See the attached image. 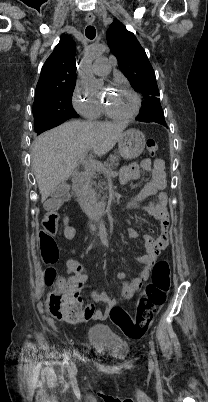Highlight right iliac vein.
Masks as SVG:
<instances>
[{"instance_id": "obj_1", "label": "right iliac vein", "mask_w": 208, "mask_h": 402, "mask_svg": "<svg viewBox=\"0 0 208 402\" xmlns=\"http://www.w3.org/2000/svg\"><path fill=\"white\" fill-rule=\"evenodd\" d=\"M70 368H71L72 371H74L75 370V365L73 363H71Z\"/></svg>"}]
</instances>
